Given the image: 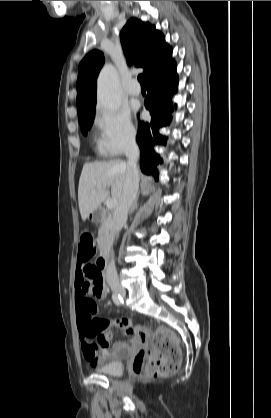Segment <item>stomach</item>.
Returning <instances> with one entry per match:
<instances>
[{
    "mask_svg": "<svg viewBox=\"0 0 271 418\" xmlns=\"http://www.w3.org/2000/svg\"><path fill=\"white\" fill-rule=\"evenodd\" d=\"M87 219L91 222H98L100 220V212L96 209L93 212H91Z\"/></svg>",
    "mask_w": 271,
    "mask_h": 418,
    "instance_id": "obj_1",
    "label": "stomach"
}]
</instances>
